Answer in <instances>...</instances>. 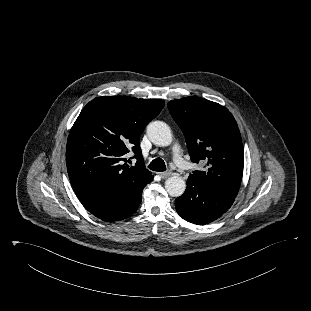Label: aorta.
<instances>
[{
	"mask_svg": "<svg viewBox=\"0 0 311 311\" xmlns=\"http://www.w3.org/2000/svg\"><path fill=\"white\" fill-rule=\"evenodd\" d=\"M147 135L158 146H168L172 142L170 127L163 121H153L147 126ZM165 189L170 196L179 197L186 189L185 181L179 176H171L165 181Z\"/></svg>",
	"mask_w": 311,
	"mask_h": 311,
	"instance_id": "1",
	"label": "aorta"
}]
</instances>
